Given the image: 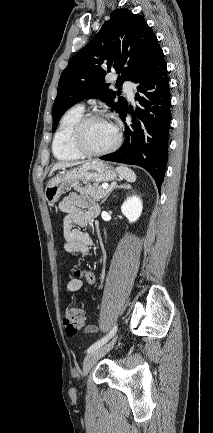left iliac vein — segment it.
Returning a JSON list of instances; mask_svg holds the SVG:
<instances>
[{
    "mask_svg": "<svg viewBox=\"0 0 213 433\" xmlns=\"http://www.w3.org/2000/svg\"><path fill=\"white\" fill-rule=\"evenodd\" d=\"M116 342V337H114L109 343L97 348L96 350L90 352L86 355L83 361V372L82 375L85 376L94 366V364L103 357L111 348L114 346Z\"/></svg>",
    "mask_w": 213,
    "mask_h": 433,
    "instance_id": "1",
    "label": "left iliac vein"
}]
</instances>
